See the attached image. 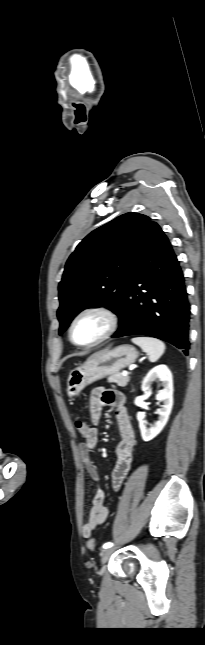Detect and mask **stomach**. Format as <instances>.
<instances>
[{
    "instance_id": "0dacf381",
    "label": "stomach",
    "mask_w": 205,
    "mask_h": 645,
    "mask_svg": "<svg viewBox=\"0 0 205 645\" xmlns=\"http://www.w3.org/2000/svg\"><path fill=\"white\" fill-rule=\"evenodd\" d=\"M137 356L136 349L128 344L95 353L83 366L70 371L66 389L68 396L72 398L93 382L119 373L133 364Z\"/></svg>"
}]
</instances>
